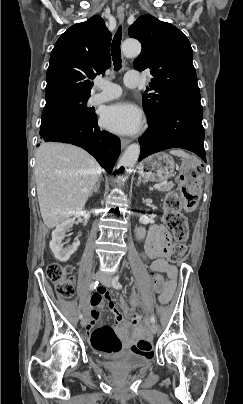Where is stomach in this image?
<instances>
[{
	"instance_id": "1",
	"label": "stomach",
	"mask_w": 243,
	"mask_h": 404,
	"mask_svg": "<svg viewBox=\"0 0 243 404\" xmlns=\"http://www.w3.org/2000/svg\"><path fill=\"white\" fill-rule=\"evenodd\" d=\"M139 174L147 181H166L175 175L174 160L163 152L153 154L141 162Z\"/></svg>"
}]
</instances>
